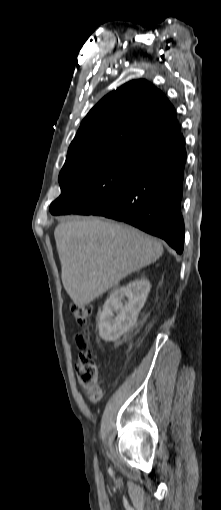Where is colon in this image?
I'll return each instance as SVG.
<instances>
[{
	"label": "colon",
	"instance_id": "1",
	"mask_svg": "<svg viewBox=\"0 0 221 510\" xmlns=\"http://www.w3.org/2000/svg\"><path fill=\"white\" fill-rule=\"evenodd\" d=\"M70 308L76 322L81 326L86 325L91 315V306L73 303ZM76 344L79 350L77 379L79 384L87 390L88 400L95 404L101 399V391L96 387L98 366L93 357L89 340L84 334H79L76 337Z\"/></svg>",
	"mask_w": 221,
	"mask_h": 510
}]
</instances>
